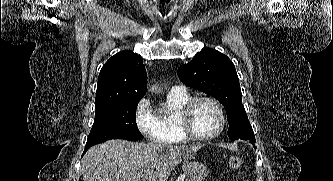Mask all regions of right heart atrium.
<instances>
[{
    "instance_id": "obj_1",
    "label": "right heart atrium",
    "mask_w": 333,
    "mask_h": 181,
    "mask_svg": "<svg viewBox=\"0 0 333 181\" xmlns=\"http://www.w3.org/2000/svg\"><path fill=\"white\" fill-rule=\"evenodd\" d=\"M134 119L139 131L145 137L156 140L160 132V124L148 99L142 98L137 103Z\"/></svg>"
}]
</instances>
